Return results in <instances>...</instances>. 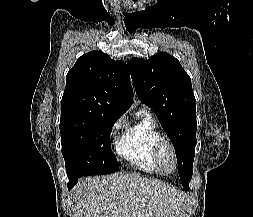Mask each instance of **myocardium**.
I'll list each match as a JSON object with an SVG mask.
<instances>
[{
	"label": "myocardium",
	"instance_id": "1",
	"mask_svg": "<svg viewBox=\"0 0 253 217\" xmlns=\"http://www.w3.org/2000/svg\"><path fill=\"white\" fill-rule=\"evenodd\" d=\"M165 153H168L172 160V168L170 170L166 169L164 164ZM154 156L161 173L168 175L176 171L178 167V159L176 150L170 141L164 138L160 139L154 146Z\"/></svg>",
	"mask_w": 253,
	"mask_h": 217
}]
</instances>
